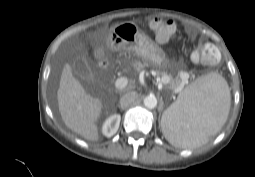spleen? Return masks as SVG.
Returning a JSON list of instances; mask_svg holds the SVG:
<instances>
[{"instance_id":"1","label":"spleen","mask_w":255,"mask_h":177,"mask_svg":"<svg viewBox=\"0 0 255 177\" xmlns=\"http://www.w3.org/2000/svg\"><path fill=\"white\" fill-rule=\"evenodd\" d=\"M230 105L226 80L216 73H209L185 88L163 113L162 131L174 146L202 145L223 127Z\"/></svg>"}]
</instances>
